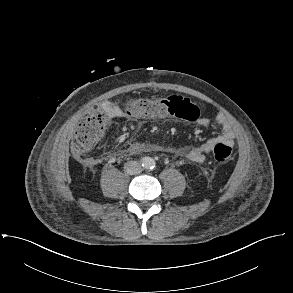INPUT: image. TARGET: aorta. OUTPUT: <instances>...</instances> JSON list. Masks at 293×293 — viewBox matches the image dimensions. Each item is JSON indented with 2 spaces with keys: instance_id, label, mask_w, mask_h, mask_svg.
I'll return each instance as SVG.
<instances>
[{
  "instance_id": "obj_1",
  "label": "aorta",
  "mask_w": 293,
  "mask_h": 293,
  "mask_svg": "<svg viewBox=\"0 0 293 293\" xmlns=\"http://www.w3.org/2000/svg\"><path fill=\"white\" fill-rule=\"evenodd\" d=\"M142 165L146 169H152L155 167V160L151 157H145L142 160Z\"/></svg>"
}]
</instances>
